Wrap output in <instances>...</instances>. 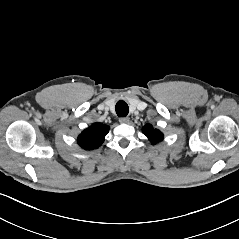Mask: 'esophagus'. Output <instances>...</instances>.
Here are the masks:
<instances>
[{
    "instance_id": "esophagus-1",
    "label": "esophagus",
    "mask_w": 239,
    "mask_h": 239,
    "mask_svg": "<svg viewBox=\"0 0 239 239\" xmlns=\"http://www.w3.org/2000/svg\"><path fill=\"white\" fill-rule=\"evenodd\" d=\"M119 122L121 124H127V123H129V118L128 117H121V118H119Z\"/></svg>"
}]
</instances>
